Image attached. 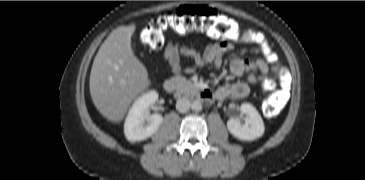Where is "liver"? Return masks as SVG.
Masks as SVG:
<instances>
[{
  "label": "liver",
  "mask_w": 365,
  "mask_h": 180,
  "mask_svg": "<svg viewBox=\"0 0 365 180\" xmlns=\"http://www.w3.org/2000/svg\"><path fill=\"white\" fill-rule=\"evenodd\" d=\"M135 24L113 30L101 45L90 74V94L109 121L121 122L132 101L150 85L146 67L131 49Z\"/></svg>",
  "instance_id": "obj_1"
}]
</instances>
